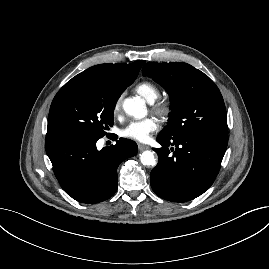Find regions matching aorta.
Listing matches in <instances>:
<instances>
[{"label":"aorta","mask_w":269,"mask_h":269,"mask_svg":"<svg viewBox=\"0 0 269 269\" xmlns=\"http://www.w3.org/2000/svg\"><path fill=\"white\" fill-rule=\"evenodd\" d=\"M124 111L136 119L144 118L147 115L145 101L141 98H127L123 102ZM140 161L144 166H156L157 159L155 153L149 150L143 151L140 154Z\"/></svg>","instance_id":"aorta-1"}]
</instances>
